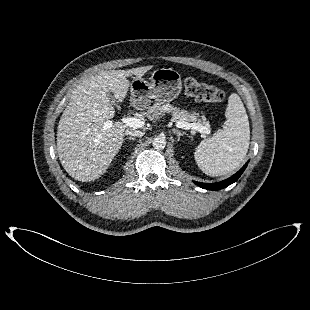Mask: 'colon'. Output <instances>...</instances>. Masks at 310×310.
<instances>
[{"label": "colon", "mask_w": 310, "mask_h": 310, "mask_svg": "<svg viewBox=\"0 0 310 310\" xmlns=\"http://www.w3.org/2000/svg\"><path fill=\"white\" fill-rule=\"evenodd\" d=\"M184 88L187 95L209 103H220L225 97L219 88L201 83L193 78H188L185 81Z\"/></svg>", "instance_id": "colon-1"}]
</instances>
